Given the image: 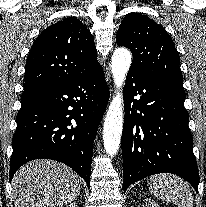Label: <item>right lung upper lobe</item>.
<instances>
[{"mask_svg":"<svg viewBox=\"0 0 206 207\" xmlns=\"http://www.w3.org/2000/svg\"><path fill=\"white\" fill-rule=\"evenodd\" d=\"M100 67L90 31L79 19L66 18L46 28L33 43L24 91L70 82Z\"/></svg>","mask_w":206,"mask_h":207,"instance_id":"obj_1","label":"right lung upper lobe"}]
</instances>
